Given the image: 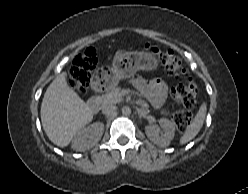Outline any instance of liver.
<instances>
[{"mask_svg": "<svg viewBox=\"0 0 248 194\" xmlns=\"http://www.w3.org/2000/svg\"><path fill=\"white\" fill-rule=\"evenodd\" d=\"M43 129L55 145L66 147L76 133L93 119V111L59 74L47 88L41 104Z\"/></svg>", "mask_w": 248, "mask_h": 194, "instance_id": "6515ba94", "label": "liver"}]
</instances>
